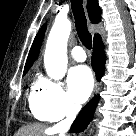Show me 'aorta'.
<instances>
[{"label":"aorta","instance_id":"1","mask_svg":"<svg viewBox=\"0 0 136 136\" xmlns=\"http://www.w3.org/2000/svg\"><path fill=\"white\" fill-rule=\"evenodd\" d=\"M71 22L57 17L50 31L44 55L47 75L60 80L67 71V41L71 32Z\"/></svg>","mask_w":136,"mask_h":136}]
</instances>
